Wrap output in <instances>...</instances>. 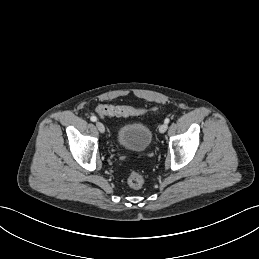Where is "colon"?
<instances>
[{
	"instance_id": "5ec220e1",
	"label": "colon",
	"mask_w": 259,
	"mask_h": 259,
	"mask_svg": "<svg viewBox=\"0 0 259 259\" xmlns=\"http://www.w3.org/2000/svg\"><path fill=\"white\" fill-rule=\"evenodd\" d=\"M147 112V109L132 106H114L100 105L97 108V113L101 117L105 116H133L141 115ZM128 185L133 189H139L145 184V177L139 172H131L127 177Z\"/></svg>"
}]
</instances>
